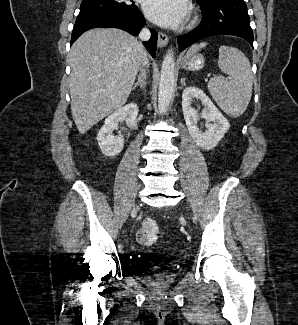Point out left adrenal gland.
<instances>
[{"mask_svg":"<svg viewBox=\"0 0 298 325\" xmlns=\"http://www.w3.org/2000/svg\"><path fill=\"white\" fill-rule=\"evenodd\" d=\"M185 80H186V78H181V80H180L181 86H185Z\"/></svg>","mask_w":298,"mask_h":325,"instance_id":"a2214340","label":"left adrenal gland"}]
</instances>
